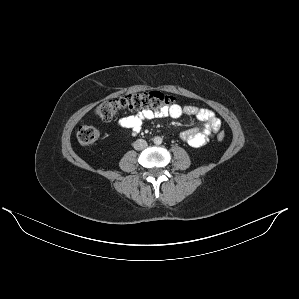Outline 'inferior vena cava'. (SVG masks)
Instances as JSON below:
<instances>
[{"label": "inferior vena cava", "instance_id": "inferior-vena-cava-1", "mask_svg": "<svg viewBox=\"0 0 299 299\" xmlns=\"http://www.w3.org/2000/svg\"><path fill=\"white\" fill-rule=\"evenodd\" d=\"M147 146V142L143 139H138L134 142V148L138 151L145 149Z\"/></svg>", "mask_w": 299, "mask_h": 299}]
</instances>
